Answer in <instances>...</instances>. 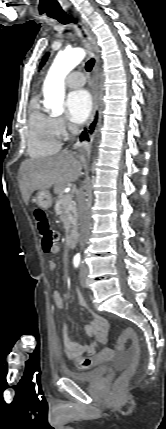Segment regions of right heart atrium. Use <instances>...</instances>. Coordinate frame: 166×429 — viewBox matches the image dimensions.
<instances>
[{
  "instance_id": "1",
  "label": "right heart atrium",
  "mask_w": 166,
  "mask_h": 429,
  "mask_svg": "<svg viewBox=\"0 0 166 429\" xmlns=\"http://www.w3.org/2000/svg\"><path fill=\"white\" fill-rule=\"evenodd\" d=\"M52 125L57 136H64L69 129L68 125L61 117H53Z\"/></svg>"
}]
</instances>
